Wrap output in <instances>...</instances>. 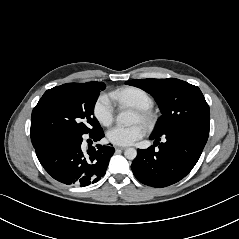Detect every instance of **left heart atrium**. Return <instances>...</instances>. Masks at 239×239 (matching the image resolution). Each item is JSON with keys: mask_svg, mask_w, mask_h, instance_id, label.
Listing matches in <instances>:
<instances>
[{"mask_svg": "<svg viewBox=\"0 0 239 239\" xmlns=\"http://www.w3.org/2000/svg\"><path fill=\"white\" fill-rule=\"evenodd\" d=\"M145 132V127L140 123L130 126L116 125L107 132V138L115 145L127 146L142 138Z\"/></svg>", "mask_w": 239, "mask_h": 239, "instance_id": "39dd6f15", "label": "left heart atrium"}]
</instances>
